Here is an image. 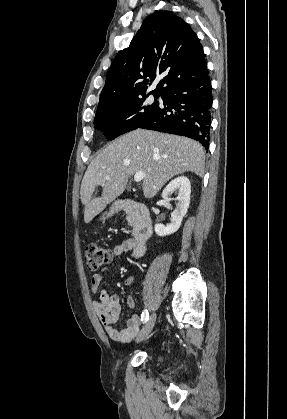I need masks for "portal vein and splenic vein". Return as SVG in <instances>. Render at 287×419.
<instances>
[{"mask_svg":"<svg viewBox=\"0 0 287 419\" xmlns=\"http://www.w3.org/2000/svg\"><path fill=\"white\" fill-rule=\"evenodd\" d=\"M144 177H145V173L144 172H137L134 175V181L139 182V181L143 180ZM105 179L108 180L109 177H106Z\"/></svg>","mask_w":287,"mask_h":419,"instance_id":"18ae733b","label":"portal vein and splenic vein"}]
</instances>
